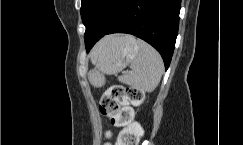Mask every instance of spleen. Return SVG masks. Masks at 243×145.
Here are the masks:
<instances>
[{
	"label": "spleen",
	"instance_id": "1",
	"mask_svg": "<svg viewBox=\"0 0 243 145\" xmlns=\"http://www.w3.org/2000/svg\"><path fill=\"white\" fill-rule=\"evenodd\" d=\"M138 55L131 61V71L118 80L136 89L151 92L159 84L164 64L160 54L148 43L138 40Z\"/></svg>",
	"mask_w": 243,
	"mask_h": 145
}]
</instances>
